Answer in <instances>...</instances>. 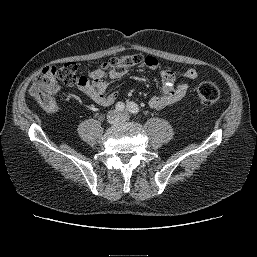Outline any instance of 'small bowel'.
<instances>
[{
  "mask_svg": "<svg viewBox=\"0 0 257 257\" xmlns=\"http://www.w3.org/2000/svg\"><path fill=\"white\" fill-rule=\"evenodd\" d=\"M143 65L150 69H157L159 62L152 56H147L144 59ZM101 72H94L93 80L85 85L80 86V89L95 103L101 106L111 105L117 98L115 91L107 93V85L100 78ZM109 76L112 79H119L123 74L110 72ZM198 73L195 69H188L184 72L180 79H177L174 73L164 69L161 71L162 85L158 93L153 95L149 100V106L152 109L160 110L169 105L181 100L187 93L190 83L195 80ZM59 87L55 88V92Z\"/></svg>",
  "mask_w": 257,
  "mask_h": 257,
  "instance_id": "small-bowel-1",
  "label": "small bowel"
}]
</instances>
